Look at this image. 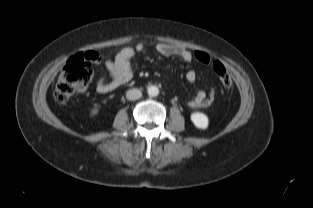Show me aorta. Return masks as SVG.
Returning <instances> with one entry per match:
<instances>
[{
	"instance_id": "762f6f07",
	"label": "aorta",
	"mask_w": 313,
	"mask_h": 208,
	"mask_svg": "<svg viewBox=\"0 0 313 208\" xmlns=\"http://www.w3.org/2000/svg\"><path fill=\"white\" fill-rule=\"evenodd\" d=\"M147 92H148L149 96L155 97V96H157L159 94V89H158L157 86L153 85V86H149L147 88Z\"/></svg>"
}]
</instances>
